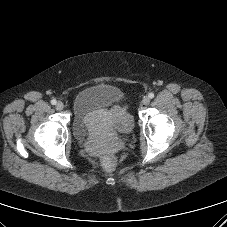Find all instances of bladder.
I'll list each match as a JSON object with an SVG mask.
<instances>
[{
	"label": "bladder",
	"mask_w": 227,
	"mask_h": 227,
	"mask_svg": "<svg viewBox=\"0 0 227 227\" xmlns=\"http://www.w3.org/2000/svg\"><path fill=\"white\" fill-rule=\"evenodd\" d=\"M117 108L127 113L123 93L116 87L99 84L84 88L74 99L72 131L77 139L94 133L108 113Z\"/></svg>",
	"instance_id": "bladder-1"
}]
</instances>
